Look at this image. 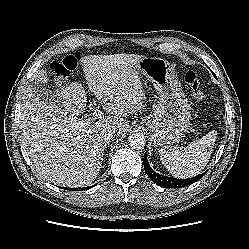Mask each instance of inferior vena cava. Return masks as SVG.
Listing matches in <instances>:
<instances>
[{
  "label": "inferior vena cava",
  "instance_id": "1",
  "mask_svg": "<svg viewBox=\"0 0 249 249\" xmlns=\"http://www.w3.org/2000/svg\"><path fill=\"white\" fill-rule=\"evenodd\" d=\"M105 138L108 140H111L113 138H115V136L118 135V131L116 129H109L107 131L104 132Z\"/></svg>",
  "mask_w": 249,
  "mask_h": 249
}]
</instances>
